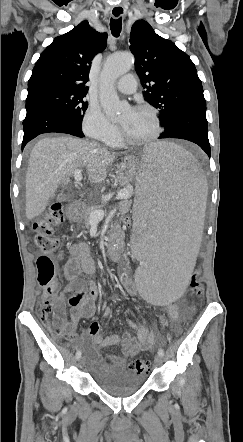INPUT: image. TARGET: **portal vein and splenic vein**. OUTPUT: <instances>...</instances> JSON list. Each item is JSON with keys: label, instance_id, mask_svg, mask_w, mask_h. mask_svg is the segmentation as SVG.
I'll use <instances>...</instances> for the list:
<instances>
[{"label": "portal vein and splenic vein", "instance_id": "18ae733b", "mask_svg": "<svg viewBox=\"0 0 243 442\" xmlns=\"http://www.w3.org/2000/svg\"><path fill=\"white\" fill-rule=\"evenodd\" d=\"M74 177L76 181H81L82 180V174H81V170L80 169H76L74 171ZM132 196V191L130 189H123L120 192H118L116 199L121 200V199H129ZM104 217V212L102 210H94L91 214H90V220L93 222H99L100 220H102Z\"/></svg>", "mask_w": 243, "mask_h": 442}]
</instances>
